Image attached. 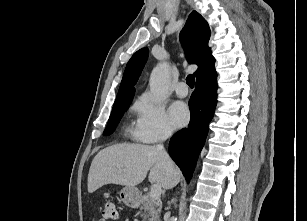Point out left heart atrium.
<instances>
[{
    "label": "left heart atrium",
    "instance_id": "obj_1",
    "mask_svg": "<svg viewBox=\"0 0 307 221\" xmlns=\"http://www.w3.org/2000/svg\"><path fill=\"white\" fill-rule=\"evenodd\" d=\"M169 115L173 125L177 128L185 126L190 119L188 107L181 101H176L171 104Z\"/></svg>",
    "mask_w": 307,
    "mask_h": 221
}]
</instances>
